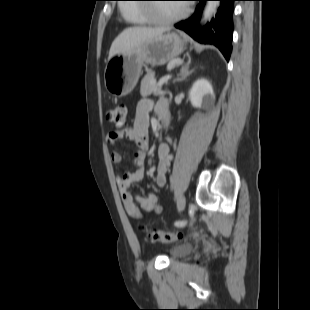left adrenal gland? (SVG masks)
Wrapping results in <instances>:
<instances>
[{
    "label": "left adrenal gland",
    "instance_id": "1",
    "mask_svg": "<svg viewBox=\"0 0 310 310\" xmlns=\"http://www.w3.org/2000/svg\"><path fill=\"white\" fill-rule=\"evenodd\" d=\"M190 63L186 64L184 67L181 68L179 77L174 82H180L185 80L194 70L189 71Z\"/></svg>",
    "mask_w": 310,
    "mask_h": 310
}]
</instances>
